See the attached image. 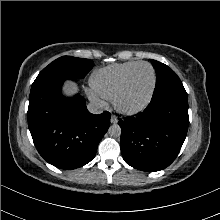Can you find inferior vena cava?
Here are the masks:
<instances>
[{"label": "inferior vena cava", "instance_id": "1", "mask_svg": "<svg viewBox=\"0 0 220 220\" xmlns=\"http://www.w3.org/2000/svg\"><path fill=\"white\" fill-rule=\"evenodd\" d=\"M87 108L92 114H101L104 110V104L102 101H92L87 105Z\"/></svg>", "mask_w": 220, "mask_h": 220}]
</instances>
